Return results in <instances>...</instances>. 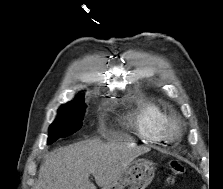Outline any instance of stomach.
Masks as SVG:
<instances>
[{"label": "stomach", "instance_id": "1", "mask_svg": "<svg viewBox=\"0 0 223 189\" xmlns=\"http://www.w3.org/2000/svg\"><path fill=\"white\" fill-rule=\"evenodd\" d=\"M155 167L145 159H136L105 189H145L154 178Z\"/></svg>", "mask_w": 223, "mask_h": 189}]
</instances>
